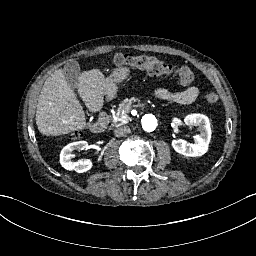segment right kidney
<instances>
[{"label": "right kidney", "mask_w": 256, "mask_h": 256, "mask_svg": "<svg viewBox=\"0 0 256 256\" xmlns=\"http://www.w3.org/2000/svg\"><path fill=\"white\" fill-rule=\"evenodd\" d=\"M86 149H88V143L86 141L69 143L61 150L60 164L66 170H74L77 173H83L90 170L92 167L90 159H80L76 162L71 160L74 157L72 154L74 150L82 151Z\"/></svg>", "instance_id": "right-kidney-1"}]
</instances>
